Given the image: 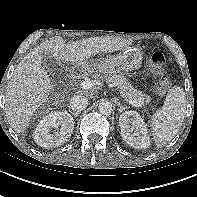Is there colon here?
I'll use <instances>...</instances> for the list:
<instances>
[{"label":"colon","mask_w":197,"mask_h":197,"mask_svg":"<svg viewBox=\"0 0 197 197\" xmlns=\"http://www.w3.org/2000/svg\"><path fill=\"white\" fill-rule=\"evenodd\" d=\"M149 62L152 70L160 76L157 84V91L159 94H165L169 90L171 82L165 74L166 58L164 54L158 50L150 51Z\"/></svg>","instance_id":"1"}]
</instances>
